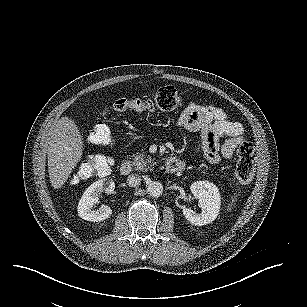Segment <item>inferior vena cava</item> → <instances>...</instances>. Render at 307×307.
I'll list each match as a JSON object with an SVG mask.
<instances>
[{
	"label": "inferior vena cava",
	"instance_id": "1",
	"mask_svg": "<svg viewBox=\"0 0 307 307\" xmlns=\"http://www.w3.org/2000/svg\"><path fill=\"white\" fill-rule=\"evenodd\" d=\"M141 176L139 174H130L127 178V184L130 187L138 188L141 184Z\"/></svg>",
	"mask_w": 307,
	"mask_h": 307
}]
</instances>
